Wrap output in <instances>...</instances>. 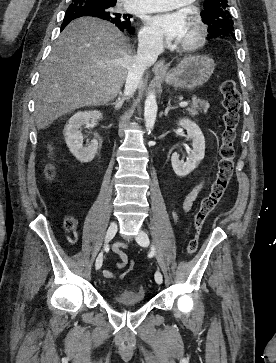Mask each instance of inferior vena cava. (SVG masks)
Instances as JSON below:
<instances>
[{
  "label": "inferior vena cava",
  "instance_id": "obj_1",
  "mask_svg": "<svg viewBox=\"0 0 276 363\" xmlns=\"http://www.w3.org/2000/svg\"><path fill=\"white\" fill-rule=\"evenodd\" d=\"M163 52V38L160 35L144 34L139 37L137 54L128 65L124 95L131 97L141 83L144 71L153 65Z\"/></svg>",
  "mask_w": 276,
  "mask_h": 363
}]
</instances>
